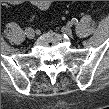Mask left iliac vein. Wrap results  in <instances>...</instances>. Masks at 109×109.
Returning <instances> with one entry per match:
<instances>
[{"label":"left iliac vein","instance_id":"obj_1","mask_svg":"<svg viewBox=\"0 0 109 109\" xmlns=\"http://www.w3.org/2000/svg\"><path fill=\"white\" fill-rule=\"evenodd\" d=\"M61 31H62L64 34L68 35V36H71V35H72V30H71V28H70L69 26H64V27H62V28H61Z\"/></svg>","mask_w":109,"mask_h":109}]
</instances>
